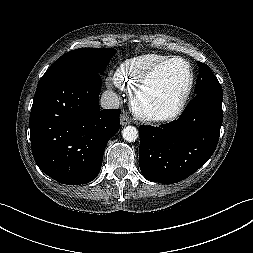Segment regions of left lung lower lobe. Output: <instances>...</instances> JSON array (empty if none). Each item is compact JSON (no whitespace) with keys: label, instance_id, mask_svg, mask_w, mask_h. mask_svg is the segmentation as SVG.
<instances>
[{"label":"left lung lower lobe","instance_id":"left-lung-lower-lobe-1","mask_svg":"<svg viewBox=\"0 0 253 253\" xmlns=\"http://www.w3.org/2000/svg\"><path fill=\"white\" fill-rule=\"evenodd\" d=\"M223 94L201 93L178 120L159 127L141 125L139 164L151 181L172 184L202 167L214 153L223 120Z\"/></svg>","mask_w":253,"mask_h":253}]
</instances>
